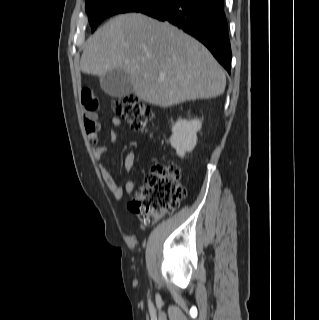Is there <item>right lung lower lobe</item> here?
I'll list each match as a JSON object with an SVG mask.
<instances>
[{"mask_svg":"<svg viewBox=\"0 0 319 320\" xmlns=\"http://www.w3.org/2000/svg\"><path fill=\"white\" fill-rule=\"evenodd\" d=\"M223 3L224 0H161L137 12L168 21L191 34L230 72L232 54Z\"/></svg>","mask_w":319,"mask_h":320,"instance_id":"right-lung-lower-lobe-1","label":"right lung lower lobe"}]
</instances>
